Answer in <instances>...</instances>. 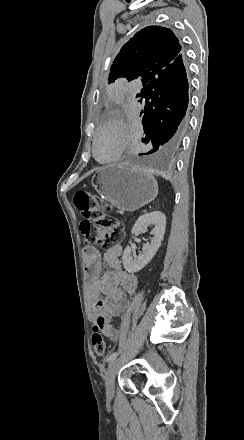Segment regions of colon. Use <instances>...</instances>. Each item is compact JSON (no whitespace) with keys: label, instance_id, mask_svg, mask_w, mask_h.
<instances>
[{"label":"colon","instance_id":"5ec220e1","mask_svg":"<svg viewBox=\"0 0 244 440\" xmlns=\"http://www.w3.org/2000/svg\"><path fill=\"white\" fill-rule=\"evenodd\" d=\"M74 204L85 219L80 223L79 229L87 243L96 244L101 249H109L117 238H123L124 233L121 230L125 229V222L117 221V218L88 190H79L74 196ZM92 309L96 314V324L91 335L92 347L97 357H103L106 353V341L101 333L105 325L103 302L95 301Z\"/></svg>","mask_w":244,"mask_h":440}]
</instances>
